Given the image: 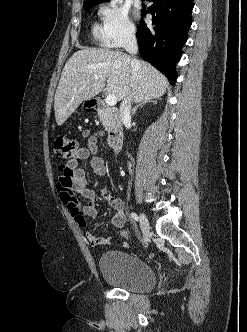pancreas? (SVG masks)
<instances>
[{
  "label": "pancreas",
  "instance_id": "cf45deb5",
  "mask_svg": "<svg viewBox=\"0 0 247 332\" xmlns=\"http://www.w3.org/2000/svg\"><path fill=\"white\" fill-rule=\"evenodd\" d=\"M100 121L102 123V125L104 126V128L110 132L112 129V122L111 120L108 118L107 114L104 112H99L98 113Z\"/></svg>",
  "mask_w": 247,
  "mask_h": 332
}]
</instances>
